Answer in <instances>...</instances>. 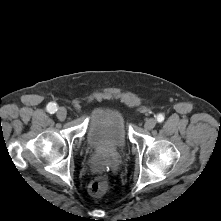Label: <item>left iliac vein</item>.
Returning <instances> with one entry per match:
<instances>
[{
    "label": "left iliac vein",
    "mask_w": 221,
    "mask_h": 221,
    "mask_svg": "<svg viewBox=\"0 0 221 221\" xmlns=\"http://www.w3.org/2000/svg\"><path fill=\"white\" fill-rule=\"evenodd\" d=\"M156 120L154 118H148L144 123V128L147 130H151L155 127Z\"/></svg>",
    "instance_id": "1"
}]
</instances>
